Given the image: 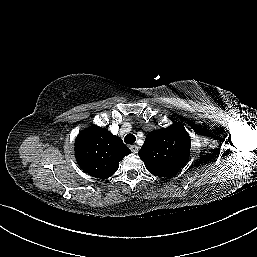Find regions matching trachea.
<instances>
[{
  "mask_svg": "<svg viewBox=\"0 0 257 257\" xmlns=\"http://www.w3.org/2000/svg\"><path fill=\"white\" fill-rule=\"evenodd\" d=\"M136 140V137L133 134H127L124 138L126 144H133Z\"/></svg>",
  "mask_w": 257,
  "mask_h": 257,
  "instance_id": "1",
  "label": "trachea"
}]
</instances>
